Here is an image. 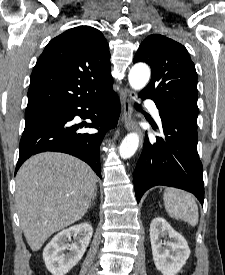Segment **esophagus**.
<instances>
[{
    "label": "esophagus",
    "mask_w": 225,
    "mask_h": 275,
    "mask_svg": "<svg viewBox=\"0 0 225 275\" xmlns=\"http://www.w3.org/2000/svg\"><path fill=\"white\" fill-rule=\"evenodd\" d=\"M136 93L133 90L126 89L123 93V121L128 131H136L140 137V146L143 143L142 131L138 128L133 114V102L136 100Z\"/></svg>",
    "instance_id": "1"
}]
</instances>
